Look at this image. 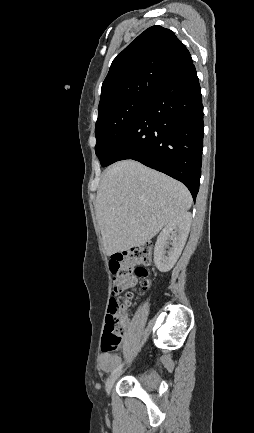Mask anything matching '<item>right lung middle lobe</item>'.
<instances>
[{
  "instance_id": "right-lung-middle-lobe-1",
  "label": "right lung middle lobe",
  "mask_w": 254,
  "mask_h": 433,
  "mask_svg": "<svg viewBox=\"0 0 254 433\" xmlns=\"http://www.w3.org/2000/svg\"><path fill=\"white\" fill-rule=\"evenodd\" d=\"M149 101L127 99L98 110L95 152L103 167L108 165L115 147Z\"/></svg>"
}]
</instances>
